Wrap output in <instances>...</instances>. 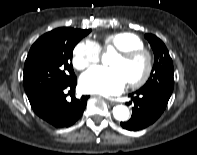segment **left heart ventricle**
<instances>
[{
  "label": "left heart ventricle",
  "mask_w": 197,
  "mask_h": 155,
  "mask_svg": "<svg viewBox=\"0 0 197 155\" xmlns=\"http://www.w3.org/2000/svg\"><path fill=\"white\" fill-rule=\"evenodd\" d=\"M110 65L119 69L127 82L140 78L145 70V60L142 57L126 60L117 54L113 57Z\"/></svg>",
  "instance_id": "1"
}]
</instances>
